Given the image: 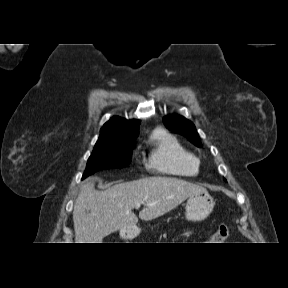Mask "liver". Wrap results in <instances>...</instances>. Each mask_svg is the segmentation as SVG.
Wrapping results in <instances>:
<instances>
[{
    "label": "liver",
    "mask_w": 288,
    "mask_h": 288,
    "mask_svg": "<svg viewBox=\"0 0 288 288\" xmlns=\"http://www.w3.org/2000/svg\"><path fill=\"white\" fill-rule=\"evenodd\" d=\"M203 190L199 185L174 177H148L117 183L104 191H97L93 181H85L73 209L75 241L102 243L112 232L136 229L138 217L132 210L137 203L145 205L139 218L150 221Z\"/></svg>",
    "instance_id": "obj_1"
}]
</instances>
